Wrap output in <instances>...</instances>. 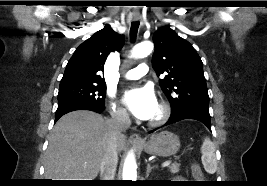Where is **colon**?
<instances>
[{
	"mask_svg": "<svg viewBox=\"0 0 267 186\" xmlns=\"http://www.w3.org/2000/svg\"><path fill=\"white\" fill-rule=\"evenodd\" d=\"M192 170L196 174H200V172H201L200 167L197 164L193 165Z\"/></svg>",
	"mask_w": 267,
	"mask_h": 186,
	"instance_id": "obj_1",
	"label": "colon"
}]
</instances>
